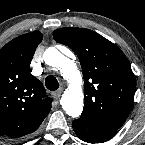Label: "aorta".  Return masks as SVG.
Here are the masks:
<instances>
[{"mask_svg":"<svg viewBox=\"0 0 145 145\" xmlns=\"http://www.w3.org/2000/svg\"><path fill=\"white\" fill-rule=\"evenodd\" d=\"M44 61L51 67L62 69L64 77L69 82V88L61 98L62 108L72 118L79 117L83 110V90L80 71L70 59L54 47H50L44 52Z\"/></svg>","mask_w":145,"mask_h":145,"instance_id":"obj_1","label":"aorta"}]
</instances>
